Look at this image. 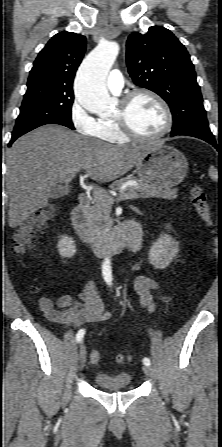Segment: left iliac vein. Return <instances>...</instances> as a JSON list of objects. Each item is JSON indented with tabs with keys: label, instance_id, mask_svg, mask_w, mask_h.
<instances>
[{
	"label": "left iliac vein",
	"instance_id": "1",
	"mask_svg": "<svg viewBox=\"0 0 222 447\" xmlns=\"http://www.w3.org/2000/svg\"><path fill=\"white\" fill-rule=\"evenodd\" d=\"M143 372L149 376V377H153L154 376V370L151 366L149 365H143L142 367Z\"/></svg>",
	"mask_w": 222,
	"mask_h": 447
}]
</instances>
